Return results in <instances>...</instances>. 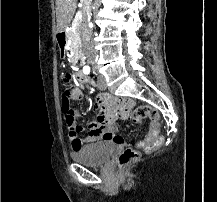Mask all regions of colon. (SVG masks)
I'll return each instance as SVG.
<instances>
[{"instance_id": "5ec220e1", "label": "colon", "mask_w": 217, "mask_h": 202, "mask_svg": "<svg viewBox=\"0 0 217 202\" xmlns=\"http://www.w3.org/2000/svg\"><path fill=\"white\" fill-rule=\"evenodd\" d=\"M71 90L69 88H65L61 91L60 99L62 105V112L64 114L65 123L68 126L69 130L74 128V118L72 109L69 105ZM143 118H148L150 120L159 119L160 115L157 114L155 107H149L148 104H141L140 107H136L134 113H131V120L136 126H141V120ZM164 141L163 137H156L153 142L147 145L146 150L151 152L159 147ZM139 156V153L136 150L131 148L125 149V151L119 156L118 161L120 164H126L129 161L136 159Z\"/></svg>"}]
</instances>
